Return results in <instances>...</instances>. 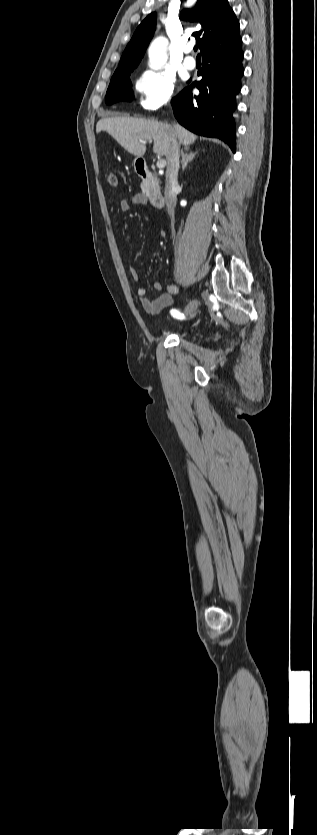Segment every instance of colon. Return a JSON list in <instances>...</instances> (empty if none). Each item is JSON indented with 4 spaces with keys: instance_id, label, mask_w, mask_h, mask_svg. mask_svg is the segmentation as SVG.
I'll use <instances>...</instances> for the list:
<instances>
[{
    "instance_id": "colon-1",
    "label": "colon",
    "mask_w": 317,
    "mask_h": 835,
    "mask_svg": "<svg viewBox=\"0 0 317 835\" xmlns=\"http://www.w3.org/2000/svg\"><path fill=\"white\" fill-rule=\"evenodd\" d=\"M107 182L110 186L115 187L118 184L117 175L114 172H110L107 175Z\"/></svg>"
}]
</instances>
